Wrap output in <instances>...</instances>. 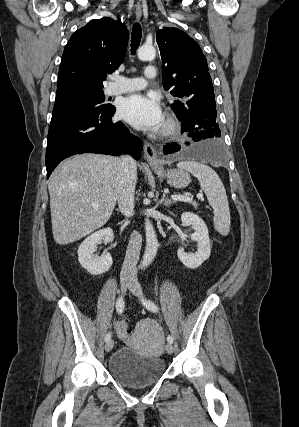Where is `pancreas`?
Wrapping results in <instances>:
<instances>
[{
  "instance_id": "pancreas-1",
  "label": "pancreas",
  "mask_w": 299,
  "mask_h": 427,
  "mask_svg": "<svg viewBox=\"0 0 299 427\" xmlns=\"http://www.w3.org/2000/svg\"><path fill=\"white\" fill-rule=\"evenodd\" d=\"M191 204L195 207V208H197V203H195V202H191Z\"/></svg>"
}]
</instances>
